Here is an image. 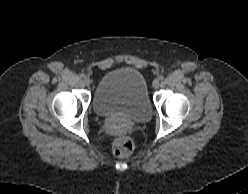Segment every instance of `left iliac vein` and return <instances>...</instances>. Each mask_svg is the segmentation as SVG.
<instances>
[{
	"mask_svg": "<svg viewBox=\"0 0 248 194\" xmlns=\"http://www.w3.org/2000/svg\"><path fill=\"white\" fill-rule=\"evenodd\" d=\"M159 85H160L159 80H158V79H155V80L153 81V87H154V88H158Z\"/></svg>",
	"mask_w": 248,
	"mask_h": 194,
	"instance_id": "1",
	"label": "left iliac vein"
}]
</instances>
